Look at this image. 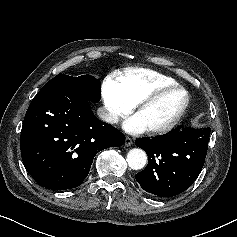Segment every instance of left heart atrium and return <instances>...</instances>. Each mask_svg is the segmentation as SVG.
Instances as JSON below:
<instances>
[{
  "label": "left heart atrium",
  "instance_id": "obj_1",
  "mask_svg": "<svg viewBox=\"0 0 237 237\" xmlns=\"http://www.w3.org/2000/svg\"><path fill=\"white\" fill-rule=\"evenodd\" d=\"M123 128L132 134L141 133L146 130V127L143 125V123L140 121V119L133 115L130 118H128L124 124Z\"/></svg>",
  "mask_w": 237,
  "mask_h": 237
}]
</instances>
